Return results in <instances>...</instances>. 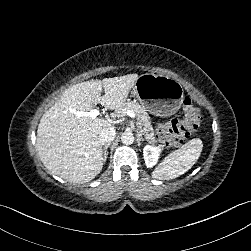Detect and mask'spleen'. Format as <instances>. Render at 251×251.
<instances>
[{
    "label": "spleen",
    "instance_id": "3e777b00",
    "mask_svg": "<svg viewBox=\"0 0 251 251\" xmlns=\"http://www.w3.org/2000/svg\"><path fill=\"white\" fill-rule=\"evenodd\" d=\"M202 148L201 139H191L180 149L169 154L152 172V178L170 180L184 174L197 161Z\"/></svg>",
    "mask_w": 251,
    "mask_h": 251
}]
</instances>
